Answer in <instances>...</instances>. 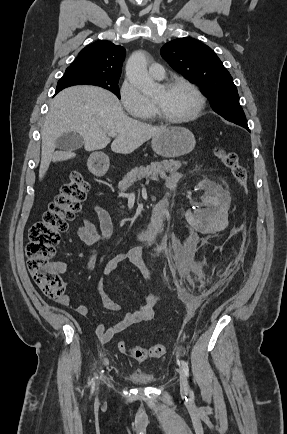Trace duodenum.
<instances>
[{"mask_svg": "<svg viewBox=\"0 0 287 434\" xmlns=\"http://www.w3.org/2000/svg\"><path fill=\"white\" fill-rule=\"evenodd\" d=\"M108 164L109 161L105 157L96 156L92 158V166L97 173H101ZM164 215V204L158 203L154 207L147 225L137 232L136 239L140 242H149L157 235L159 227L164 221Z\"/></svg>", "mask_w": 287, "mask_h": 434, "instance_id": "1", "label": "duodenum"}]
</instances>
